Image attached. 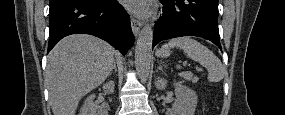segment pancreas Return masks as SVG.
I'll use <instances>...</instances> for the list:
<instances>
[{"instance_id": "pancreas-1", "label": "pancreas", "mask_w": 285, "mask_h": 115, "mask_svg": "<svg viewBox=\"0 0 285 115\" xmlns=\"http://www.w3.org/2000/svg\"><path fill=\"white\" fill-rule=\"evenodd\" d=\"M180 76L182 77V78H184L185 80H189V81H192L193 83H196L197 81H198V78L196 77V76H194L193 74H192V72H182L181 74H180Z\"/></svg>"}]
</instances>
